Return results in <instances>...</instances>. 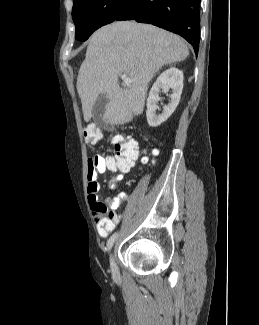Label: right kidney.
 <instances>
[{
	"mask_svg": "<svg viewBox=\"0 0 259 325\" xmlns=\"http://www.w3.org/2000/svg\"><path fill=\"white\" fill-rule=\"evenodd\" d=\"M169 89L173 91L170 96V103L163 107L161 114H156V110L158 109L157 103L160 100V91L162 90V92L167 93ZM182 89L183 72L181 70L176 67H170L161 73L153 84L147 99L146 117L149 126L157 127L172 115L179 104Z\"/></svg>",
	"mask_w": 259,
	"mask_h": 325,
	"instance_id": "1",
	"label": "right kidney"
}]
</instances>
